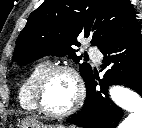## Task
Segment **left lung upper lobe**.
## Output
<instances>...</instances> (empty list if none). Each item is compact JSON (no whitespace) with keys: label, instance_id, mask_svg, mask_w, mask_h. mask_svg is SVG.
Masks as SVG:
<instances>
[{"label":"left lung upper lobe","instance_id":"1","mask_svg":"<svg viewBox=\"0 0 142 128\" xmlns=\"http://www.w3.org/2000/svg\"><path fill=\"white\" fill-rule=\"evenodd\" d=\"M135 16L129 0H45L18 36L12 61L26 65L45 55L71 54L78 62L81 56L72 54V46H80L79 35L92 38L91 44L102 49L137 25ZM79 68L86 83L92 68L87 63Z\"/></svg>","mask_w":142,"mask_h":128}]
</instances>
